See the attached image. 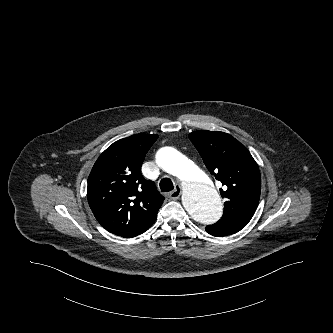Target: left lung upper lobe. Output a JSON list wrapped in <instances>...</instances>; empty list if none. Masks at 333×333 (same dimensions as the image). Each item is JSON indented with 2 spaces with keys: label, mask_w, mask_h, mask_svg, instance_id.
<instances>
[{
  "label": "left lung upper lobe",
  "mask_w": 333,
  "mask_h": 333,
  "mask_svg": "<svg viewBox=\"0 0 333 333\" xmlns=\"http://www.w3.org/2000/svg\"><path fill=\"white\" fill-rule=\"evenodd\" d=\"M207 169L224 186L220 189L224 212L218 224L243 228L259 203V167L244 145L231 135L200 130L189 134Z\"/></svg>",
  "instance_id": "left-lung-upper-lobe-1"
}]
</instances>
